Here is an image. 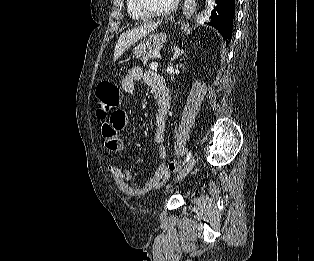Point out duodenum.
<instances>
[{"label":"duodenum","instance_id":"1","mask_svg":"<svg viewBox=\"0 0 314 261\" xmlns=\"http://www.w3.org/2000/svg\"><path fill=\"white\" fill-rule=\"evenodd\" d=\"M155 97L160 110L166 112L170 107V93L161 76H158L155 87Z\"/></svg>","mask_w":314,"mask_h":261}]
</instances>
